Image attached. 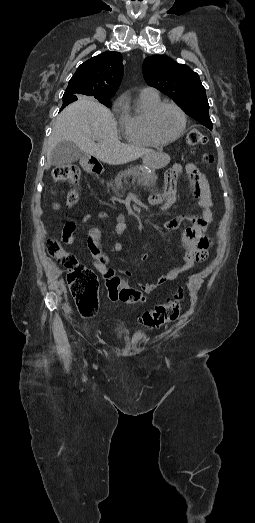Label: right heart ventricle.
I'll list each match as a JSON object with an SVG mask.
<instances>
[{
    "label": "right heart ventricle",
    "mask_w": 255,
    "mask_h": 523,
    "mask_svg": "<svg viewBox=\"0 0 255 523\" xmlns=\"http://www.w3.org/2000/svg\"><path fill=\"white\" fill-rule=\"evenodd\" d=\"M161 102L158 92L143 89L135 104L125 105L119 113L117 122L122 138L137 146L157 145L149 133L147 119L150 111Z\"/></svg>",
    "instance_id": "e07e8e85"
}]
</instances>
